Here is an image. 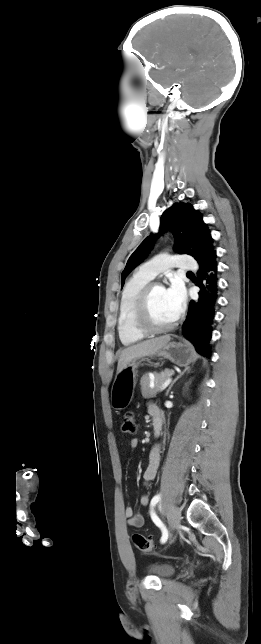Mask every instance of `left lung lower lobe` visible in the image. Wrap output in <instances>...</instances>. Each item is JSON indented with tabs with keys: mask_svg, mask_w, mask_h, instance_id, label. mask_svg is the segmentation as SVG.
I'll return each mask as SVG.
<instances>
[{
	"mask_svg": "<svg viewBox=\"0 0 261 644\" xmlns=\"http://www.w3.org/2000/svg\"><path fill=\"white\" fill-rule=\"evenodd\" d=\"M200 265L197 286L201 288L198 301H190L188 314L182 325V335L188 339L201 355L211 356L210 340L215 317L217 295L216 252Z\"/></svg>",
	"mask_w": 261,
	"mask_h": 644,
	"instance_id": "obj_1",
	"label": "left lung lower lobe"
}]
</instances>
